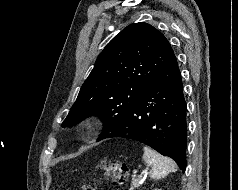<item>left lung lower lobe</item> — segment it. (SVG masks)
I'll list each match as a JSON object with an SVG mask.
<instances>
[{
  "mask_svg": "<svg viewBox=\"0 0 238 190\" xmlns=\"http://www.w3.org/2000/svg\"><path fill=\"white\" fill-rule=\"evenodd\" d=\"M186 102L176 57L152 79L123 119L104 135L140 141L186 169ZM100 139V140H101Z\"/></svg>",
  "mask_w": 238,
  "mask_h": 190,
  "instance_id": "left-lung-lower-lobe-1",
  "label": "left lung lower lobe"
}]
</instances>
